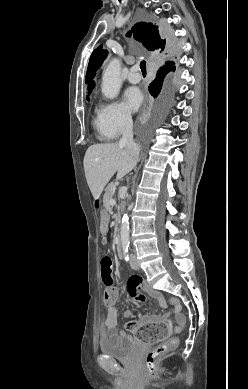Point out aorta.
<instances>
[{
	"mask_svg": "<svg viewBox=\"0 0 248 389\" xmlns=\"http://www.w3.org/2000/svg\"><path fill=\"white\" fill-rule=\"evenodd\" d=\"M121 63L117 58H113L107 65L102 76V93L108 99H114L118 95L122 81L120 77ZM121 243L127 247L129 245V217L124 214L121 221Z\"/></svg>",
	"mask_w": 248,
	"mask_h": 389,
	"instance_id": "aorta-1",
	"label": "aorta"
}]
</instances>
